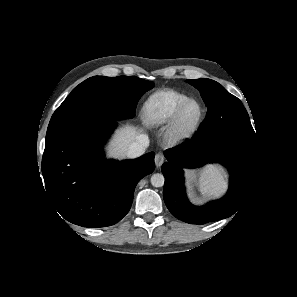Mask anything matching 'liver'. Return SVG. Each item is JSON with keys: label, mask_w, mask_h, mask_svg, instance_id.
<instances>
[{"label": "liver", "mask_w": 297, "mask_h": 297, "mask_svg": "<svg viewBox=\"0 0 297 297\" xmlns=\"http://www.w3.org/2000/svg\"><path fill=\"white\" fill-rule=\"evenodd\" d=\"M140 132L141 130L134 125L125 124L121 126L117 130L107 150L109 157L116 159L125 158L129 146L136 142L137 136L140 135Z\"/></svg>", "instance_id": "liver-1"}]
</instances>
